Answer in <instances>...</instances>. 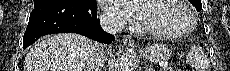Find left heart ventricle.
<instances>
[{
	"instance_id": "1",
	"label": "left heart ventricle",
	"mask_w": 230,
	"mask_h": 71,
	"mask_svg": "<svg viewBox=\"0 0 230 71\" xmlns=\"http://www.w3.org/2000/svg\"><path fill=\"white\" fill-rule=\"evenodd\" d=\"M142 6L143 22L156 31L177 33L189 24L186 12L173 0L142 1Z\"/></svg>"
}]
</instances>
